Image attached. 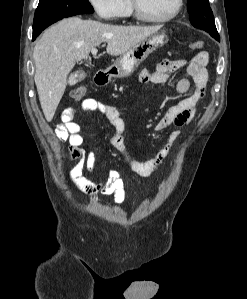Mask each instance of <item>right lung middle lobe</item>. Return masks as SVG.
Segmentation results:
<instances>
[{"mask_svg": "<svg viewBox=\"0 0 247 299\" xmlns=\"http://www.w3.org/2000/svg\"><path fill=\"white\" fill-rule=\"evenodd\" d=\"M93 12L88 0H40L34 15L33 35H39L49 25L63 18Z\"/></svg>", "mask_w": 247, "mask_h": 299, "instance_id": "1", "label": "right lung middle lobe"}]
</instances>
